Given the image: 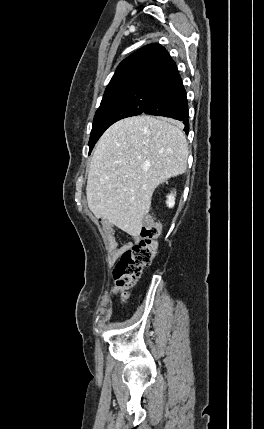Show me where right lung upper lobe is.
<instances>
[{"instance_id": "1", "label": "right lung upper lobe", "mask_w": 264, "mask_h": 429, "mask_svg": "<svg viewBox=\"0 0 264 429\" xmlns=\"http://www.w3.org/2000/svg\"><path fill=\"white\" fill-rule=\"evenodd\" d=\"M176 72V64L165 48L156 43L149 44L119 64L105 94L138 85L161 87Z\"/></svg>"}]
</instances>
